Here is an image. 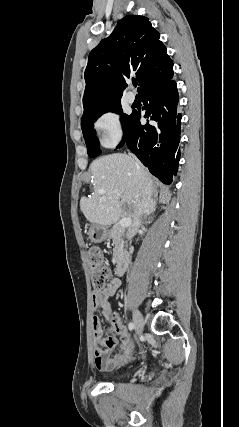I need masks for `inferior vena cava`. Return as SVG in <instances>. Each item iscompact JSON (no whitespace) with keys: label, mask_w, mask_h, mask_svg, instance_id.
Listing matches in <instances>:
<instances>
[{"label":"inferior vena cava","mask_w":239,"mask_h":427,"mask_svg":"<svg viewBox=\"0 0 239 427\" xmlns=\"http://www.w3.org/2000/svg\"><path fill=\"white\" fill-rule=\"evenodd\" d=\"M137 161V159L135 158ZM138 162V161H137ZM152 204L151 194L148 188H146L141 196V199L137 203V215L133 220L132 226L128 229L127 237L131 239L135 234L138 226L141 223L142 218L148 213L150 205Z\"/></svg>","instance_id":"obj_1"}]
</instances>
